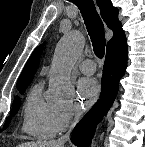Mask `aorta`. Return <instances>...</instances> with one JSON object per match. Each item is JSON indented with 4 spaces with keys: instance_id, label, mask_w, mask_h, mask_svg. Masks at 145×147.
Segmentation results:
<instances>
[{
    "instance_id": "obj_1",
    "label": "aorta",
    "mask_w": 145,
    "mask_h": 147,
    "mask_svg": "<svg viewBox=\"0 0 145 147\" xmlns=\"http://www.w3.org/2000/svg\"><path fill=\"white\" fill-rule=\"evenodd\" d=\"M83 48L84 37L78 30L70 31L59 41L50 73V100L65 102L71 98L73 94L71 68L81 56Z\"/></svg>"
}]
</instances>
